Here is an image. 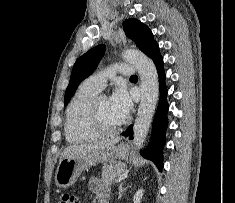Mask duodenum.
Here are the masks:
<instances>
[{
    "instance_id": "1",
    "label": "duodenum",
    "mask_w": 235,
    "mask_h": 203,
    "mask_svg": "<svg viewBox=\"0 0 235 203\" xmlns=\"http://www.w3.org/2000/svg\"><path fill=\"white\" fill-rule=\"evenodd\" d=\"M101 203H107V200L106 201H101Z\"/></svg>"
}]
</instances>
